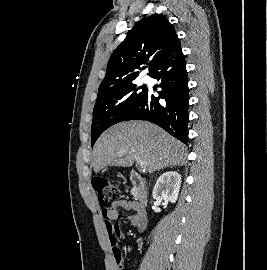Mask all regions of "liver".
Listing matches in <instances>:
<instances>
[{
  "label": "liver",
  "instance_id": "1",
  "mask_svg": "<svg viewBox=\"0 0 267 270\" xmlns=\"http://www.w3.org/2000/svg\"><path fill=\"white\" fill-rule=\"evenodd\" d=\"M186 147L162 128L144 121H127L106 130L94 146L95 173L112 166L130 167L135 157L145 162L149 173L169 166H182Z\"/></svg>",
  "mask_w": 267,
  "mask_h": 270
}]
</instances>
